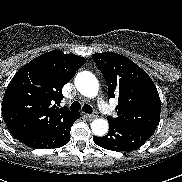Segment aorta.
<instances>
[{
	"label": "aorta",
	"mask_w": 182,
	"mask_h": 182,
	"mask_svg": "<svg viewBox=\"0 0 182 182\" xmlns=\"http://www.w3.org/2000/svg\"><path fill=\"white\" fill-rule=\"evenodd\" d=\"M77 90L85 97L93 98L98 94L99 84L94 74L88 71L80 72L75 77ZM109 124L105 119H96L91 123L92 132L97 136H104L108 132Z\"/></svg>",
	"instance_id": "762f6f07"
}]
</instances>
